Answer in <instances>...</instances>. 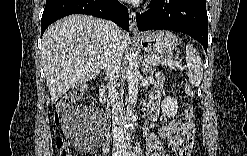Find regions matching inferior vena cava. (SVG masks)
Instances as JSON below:
<instances>
[{
    "instance_id": "1",
    "label": "inferior vena cava",
    "mask_w": 247,
    "mask_h": 156,
    "mask_svg": "<svg viewBox=\"0 0 247 156\" xmlns=\"http://www.w3.org/2000/svg\"><path fill=\"white\" fill-rule=\"evenodd\" d=\"M105 33L109 36V49L105 55L104 71L109 83V98L112 108L113 132L115 137H123V131L118 127L122 115V105L116 90L117 80L121 68L122 51L119 47L120 29L116 24L107 21L104 27Z\"/></svg>"
}]
</instances>
